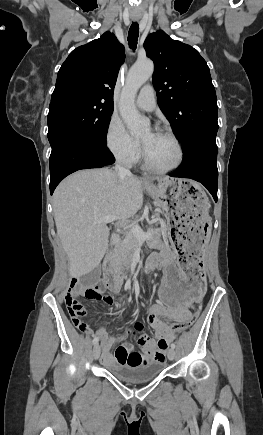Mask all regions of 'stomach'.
Here are the masks:
<instances>
[{
    "mask_svg": "<svg viewBox=\"0 0 263 435\" xmlns=\"http://www.w3.org/2000/svg\"><path fill=\"white\" fill-rule=\"evenodd\" d=\"M145 187L166 219H171L167 233L175 252V258H165L159 264L156 298L160 305H176L178 310L200 305L208 274L202 260L213 233L208 197L197 182L185 178H169L157 186L146 182Z\"/></svg>",
    "mask_w": 263,
    "mask_h": 435,
    "instance_id": "stomach-1",
    "label": "stomach"
}]
</instances>
